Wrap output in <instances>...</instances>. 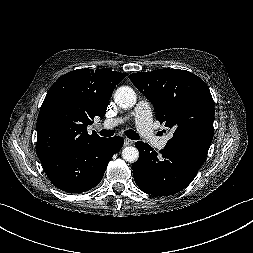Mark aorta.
Returning <instances> with one entry per match:
<instances>
[{"label":"aorta","mask_w":253,"mask_h":253,"mask_svg":"<svg viewBox=\"0 0 253 253\" xmlns=\"http://www.w3.org/2000/svg\"><path fill=\"white\" fill-rule=\"evenodd\" d=\"M114 100L118 106L128 109L136 104L137 97L131 87L121 86L115 91ZM122 157L126 162L133 163L138 160L139 152L136 147L128 146L123 149Z\"/></svg>","instance_id":"1"}]
</instances>
